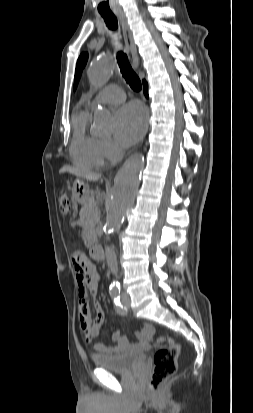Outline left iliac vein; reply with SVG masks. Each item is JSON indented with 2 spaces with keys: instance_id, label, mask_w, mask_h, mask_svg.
<instances>
[{
  "instance_id": "obj_1",
  "label": "left iliac vein",
  "mask_w": 253,
  "mask_h": 413,
  "mask_svg": "<svg viewBox=\"0 0 253 413\" xmlns=\"http://www.w3.org/2000/svg\"><path fill=\"white\" fill-rule=\"evenodd\" d=\"M122 301H123V304L126 308L130 307V297L127 294H124L122 296Z\"/></svg>"
}]
</instances>
